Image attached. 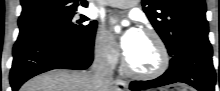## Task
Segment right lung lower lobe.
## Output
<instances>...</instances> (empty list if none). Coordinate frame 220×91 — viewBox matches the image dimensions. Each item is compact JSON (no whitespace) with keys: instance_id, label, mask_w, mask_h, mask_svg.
Returning <instances> with one entry per match:
<instances>
[{"instance_id":"right-lung-lower-lobe-1","label":"right lung lower lobe","mask_w":220,"mask_h":91,"mask_svg":"<svg viewBox=\"0 0 220 91\" xmlns=\"http://www.w3.org/2000/svg\"><path fill=\"white\" fill-rule=\"evenodd\" d=\"M93 46L94 38L75 42L47 29H20L13 48L12 91L31 77L52 69L88 68L93 60Z\"/></svg>"}]
</instances>
